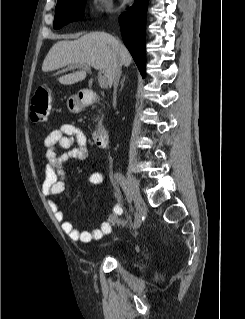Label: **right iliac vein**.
Listing matches in <instances>:
<instances>
[{"label": "right iliac vein", "instance_id": "63e3f726", "mask_svg": "<svg viewBox=\"0 0 245 319\" xmlns=\"http://www.w3.org/2000/svg\"><path fill=\"white\" fill-rule=\"evenodd\" d=\"M125 186L126 194L132 198L136 210L139 211L143 204V200L140 195L139 186L136 178L131 174H127L125 179Z\"/></svg>", "mask_w": 245, "mask_h": 319}]
</instances>
